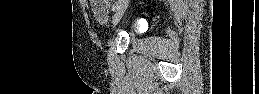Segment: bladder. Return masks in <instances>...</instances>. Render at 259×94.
Segmentation results:
<instances>
[{
    "label": "bladder",
    "instance_id": "bladder-1",
    "mask_svg": "<svg viewBox=\"0 0 259 94\" xmlns=\"http://www.w3.org/2000/svg\"><path fill=\"white\" fill-rule=\"evenodd\" d=\"M96 19L101 24H106L108 20L107 9L104 5L94 7L93 9Z\"/></svg>",
    "mask_w": 259,
    "mask_h": 94
}]
</instances>
